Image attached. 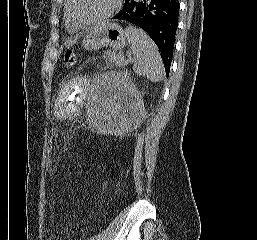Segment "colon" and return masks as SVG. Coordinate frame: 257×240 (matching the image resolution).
Instances as JSON below:
<instances>
[{"mask_svg": "<svg viewBox=\"0 0 257 240\" xmlns=\"http://www.w3.org/2000/svg\"><path fill=\"white\" fill-rule=\"evenodd\" d=\"M65 63L69 67H73L78 62V54L74 51H67L65 53ZM48 163L51 164L53 160V143L52 140L48 143L47 151Z\"/></svg>", "mask_w": 257, "mask_h": 240, "instance_id": "5ec220e1", "label": "colon"}]
</instances>
